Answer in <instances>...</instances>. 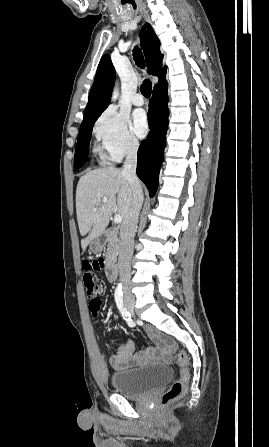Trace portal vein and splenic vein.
I'll return each instance as SVG.
<instances>
[{"label": "portal vein and splenic vein", "mask_w": 269, "mask_h": 447, "mask_svg": "<svg viewBox=\"0 0 269 447\" xmlns=\"http://www.w3.org/2000/svg\"><path fill=\"white\" fill-rule=\"evenodd\" d=\"M101 202H108V198H103V200H101ZM93 210H95V212H96L97 208H93ZM114 222H115V224H121L122 216H120V214H115Z\"/></svg>", "instance_id": "1"}]
</instances>
